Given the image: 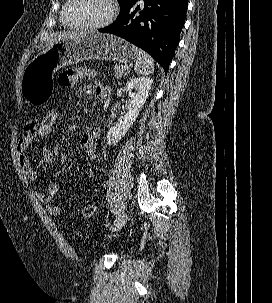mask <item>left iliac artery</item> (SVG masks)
<instances>
[{"instance_id":"44dca946","label":"left iliac artery","mask_w":272,"mask_h":303,"mask_svg":"<svg viewBox=\"0 0 272 303\" xmlns=\"http://www.w3.org/2000/svg\"><path fill=\"white\" fill-rule=\"evenodd\" d=\"M119 220H120L119 219V213H114V219L111 220V222H110L111 225H112L111 228H113V226L116 225V223L119 222Z\"/></svg>"}]
</instances>
